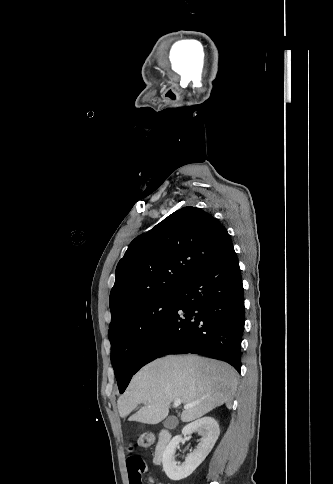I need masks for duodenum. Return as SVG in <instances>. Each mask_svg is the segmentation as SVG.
Listing matches in <instances>:
<instances>
[{
	"label": "duodenum",
	"mask_w": 333,
	"mask_h": 484,
	"mask_svg": "<svg viewBox=\"0 0 333 484\" xmlns=\"http://www.w3.org/2000/svg\"><path fill=\"white\" fill-rule=\"evenodd\" d=\"M170 434L167 431H162L159 436V442L156 447V459L160 460L164 454L165 448L170 441Z\"/></svg>",
	"instance_id": "410a0bca"
}]
</instances>
